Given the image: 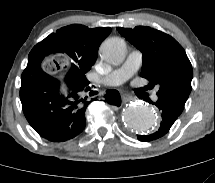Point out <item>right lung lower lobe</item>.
<instances>
[{
	"mask_svg": "<svg viewBox=\"0 0 215 183\" xmlns=\"http://www.w3.org/2000/svg\"><path fill=\"white\" fill-rule=\"evenodd\" d=\"M42 56L33 50L21 76L20 99L24 115L33 129L52 142L70 140L86 126L85 111L96 100L90 82L84 74L76 75L70 68L65 77L67 95L60 93V82L41 69ZM105 102L121 105L118 91H106Z\"/></svg>",
	"mask_w": 215,
	"mask_h": 183,
	"instance_id": "98d812e1",
	"label": "right lung lower lobe"
}]
</instances>
